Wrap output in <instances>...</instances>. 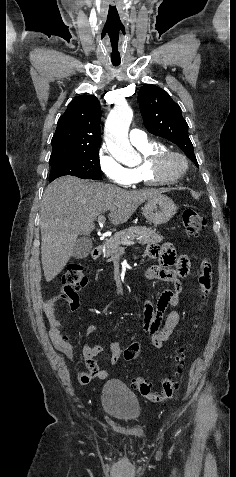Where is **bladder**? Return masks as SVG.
Returning a JSON list of instances; mask_svg holds the SVG:
<instances>
[{"instance_id": "31cf9c89", "label": "bladder", "mask_w": 236, "mask_h": 477, "mask_svg": "<svg viewBox=\"0 0 236 477\" xmlns=\"http://www.w3.org/2000/svg\"><path fill=\"white\" fill-rule=\"evenodd\" d=\"M101 404L108 416L119 421H133L142 409L136 397L120 381L108 380L101 390Z\"/></svg>"}]
</instances>
